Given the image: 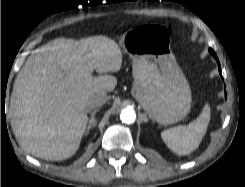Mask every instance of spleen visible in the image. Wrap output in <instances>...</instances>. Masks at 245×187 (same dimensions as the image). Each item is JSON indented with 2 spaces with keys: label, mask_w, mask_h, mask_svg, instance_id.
<instances>
[{
  "label": "spleen",
  "mask_w": 245,
  "mask_h": 187,
  "mask_svg": "<svg viewBox=\"0 0 245 187\" xmlns=\"http://www.w3.org/2000/svg\"><path fill=\"white\" fill-rule=\"evenodd\" d=\"M211 108L206 103L200 115L185 126L162 131L161 138L167 147L178 155H187L196 150L202 141L210 122Z\"/></svg>",
  "instance_id": "spleen-1"
}]
</instances>
